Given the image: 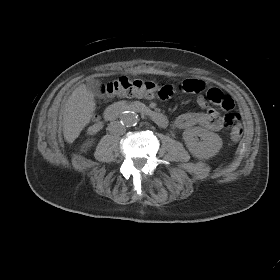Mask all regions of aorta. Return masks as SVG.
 I'll use <instances>...</instances> for the list:
<instances>
[{"instance_id":"obj_1","label":"aorta","mask_w":280,"mask_h":280,"mask_svg":"<svg viewBox=\"0 0 280 280\" xmlns=\"http://www.w3.org/2000/svg\"><path fill=\"white\" fill-rule=\"evenodd\" d=\"M137 121H138V117L136 113L132 111H126L120 117L121 124L127 127L135 125Z\"/></svg>"}]
</instances>
